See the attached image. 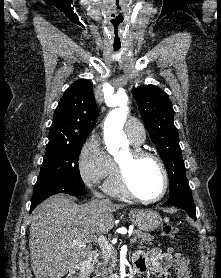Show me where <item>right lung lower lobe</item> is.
I'll return each instance as SVG.
<instances>
[{
    "mask_svg": "<svg viewBox=\"0 0 221 278\" xmlns=\"http://www.w3.org/2000/svg\"><path fill=\"white\" fill-rule=\"evenodd\" d=\"M84 187L76 186V185H71V184H60L57 186H54L50 189H48L46 192L43 194L39 195L36 198H32L31 200V207H30V212L43 200L46 198L50 197L51 195L58 194V193H66L74 196H81L86 194V191L84 190Z\"/></svg>",
    "mask_w": 221,
    "mask_h": 278,
    "instance_id": "1",
    "label": "right lung lower lobe"
}]
</instances>
